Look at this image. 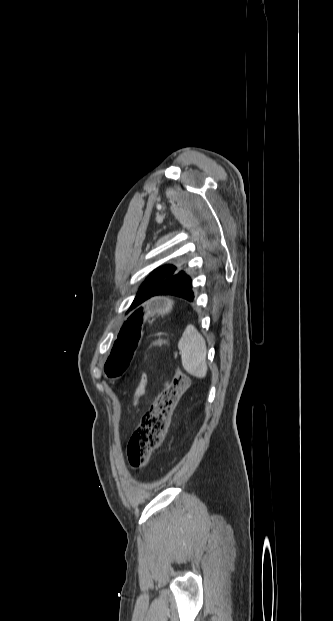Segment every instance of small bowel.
<instances>
[{
    "mask_svg": "<svg viewBox=\"0 0 333 621\" xmlns=\"http://www.w3.org/2000/svg\"><path fill=\"white\" fill-rule=\"evenodd\" d=\"M146 384H147V375H144L140 386L136 390V395H135L136 402L144 394L145 388H146Z\"/></svg>",
    "mask_w": 333,
    "mask_h": 621,
    "instance_id": "obj_1",
    "label": "small bowel"
}]
</instances>
